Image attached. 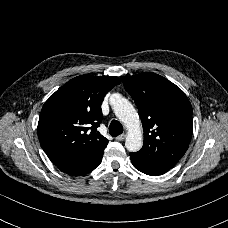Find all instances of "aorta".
Returning <instances> with one entry per match:
<instances>
[{
  "mask_svg": "<svg viewBox=\"0 0 228 228\" xmlns=\"http://www.w3.org/2000/svg\"><path fill=\"white\" fill-rule=\"evenodd\" d=\"M109 103L115 116L128 127L125 148L129 152H138L142 148L143 140L139 126V116L132 103L120 93H113Z\"/></svg>",
  "mask_w": 228,
  "mask_h": 228,
  "instance_id": "762f6f07",
  "label": "aorta"
}]
</instances>
